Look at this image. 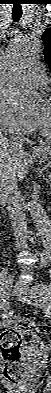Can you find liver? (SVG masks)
Listing matches in <instances>:
<instances>
[{"instance_id":"liver-1","label":"liver","mask_w":51,"mask_h":393,"mask_svg":"<svg viewBox=\"0 0 51 393\" xmlns=\"http://www.w3.org/2000/svg\"><path fill=\"white\" fill-rule=\"evenodd\" d=\"M46 146L44 152H49ZM29 159L24 151L19 152L5 136H0V183L1 179L21 181L29 171Z\"/></svg>"}]
</instances>
